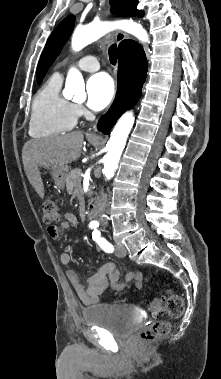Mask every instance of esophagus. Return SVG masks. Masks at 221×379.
Here are the masks:
<instances>
[{
    "instance_id": "obj_1",
    "label": "esophagus",
    "mask_w": 221,
    "mask_h": 379,
    "mask_svg": "<svg viewBox=\"0 0 221 379\" xmlns=\"http://www.w3.org/2000/svg\"><path fill=\"white\" fill-rule=\"evenodd\" d=\"M127 37L128 36L121 31H116V33H115V39H116L117 44H120Z\"/></svg>"
}]
</instances>
